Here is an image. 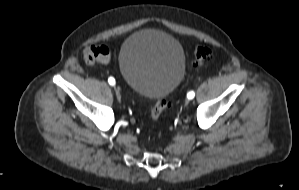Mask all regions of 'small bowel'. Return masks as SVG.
<instances>
[{"mask_svg":"<svg viewBox=\"0 0 299 190\" xmlns=\"http://www.w3.org/2000/svg\"><path fill=\"white\" fill-rule=\"evenodd\" d=\"M85 59L88 62L98 61L107 64L111 60V53L106 46H91L85 50Z\"/></svg>","mask_w":299,"mask_h":190,"instance_id":"c3829d8e","label":"small bowel"}]
</instances>
